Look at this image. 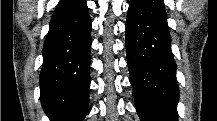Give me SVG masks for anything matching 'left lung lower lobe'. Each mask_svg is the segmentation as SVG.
<instances>
[{
    "label": "left lung lower lobe",
    "instance_id": "1",
    "mask_svg": "<svg viewBox=\"0 0 217 121\" xmlns=\"http://www.w3.org/2000/svg\"><path fill=\"white\" fill-rule=\"evenodd\" d=\"M126 50L141 120L177 121L179 87L163 0L130 1Z\"/></svg>",
    "mask_w": 217,
    "mask_h": 121
}]
</instances>
